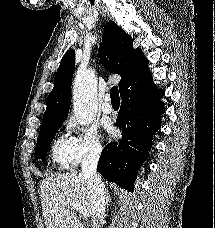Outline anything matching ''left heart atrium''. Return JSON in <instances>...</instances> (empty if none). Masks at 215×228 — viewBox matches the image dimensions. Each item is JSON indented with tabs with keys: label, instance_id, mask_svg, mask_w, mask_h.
<instances>
[{
	"label": "left heart atrium",
	"instance_id": "1",
	"mask_svg": "<svg viewBox=\"0 0 215 228\" xmlns=\"http://www.w3.org/2000/svg\"><path fill=\"white\" fill-rule=\"evenodd\" d=\"M109 131H110V132H113V128H112V127H109Z\"/></svg>",
	"mask_w": 215,
	"mask_h": 228
}]
</instances>
